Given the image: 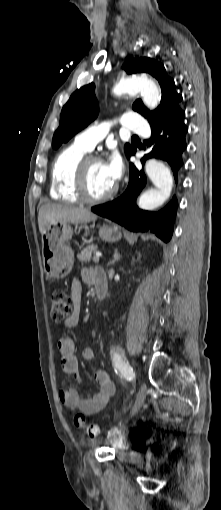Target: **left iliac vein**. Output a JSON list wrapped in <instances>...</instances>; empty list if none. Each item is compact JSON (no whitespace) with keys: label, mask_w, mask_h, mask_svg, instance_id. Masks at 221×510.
I'll return each mask as SVG.
<instances>
[{"label":"left iliac vein","mask_w":221,"mask_h":510,"mask_svg":"<svg viewBox=\"0 0 221 510\" xmlns=\"http://www.w3.org/2000/svg\"><path fill=\"white\" fill-rule=\"evenodd\" d=\"M145 398H146V385L144 383H142V385L140 386V389L138 391L137 398L134 403L133 409H132V414L139 411V409L142 407V405L145 401Z\"/></svg>","instance_id":"4c4485c4"}]
</instances>
